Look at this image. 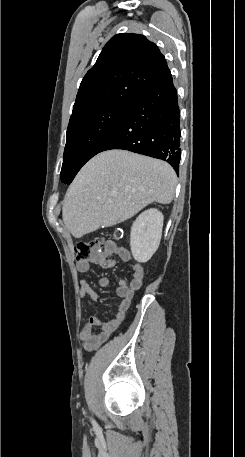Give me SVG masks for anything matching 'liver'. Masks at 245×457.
I'll return each instance as SVG.
<instances>
[{
  "mask_svg": "<svg viewBox=\"0 0 245 457\" xmlns=\"http://www.w3.org/2000/svg\"><path fill=\"white\" fill-rule=\"evenodd\" d=\"M176 182V172L165 160L120 148L104 150L71 182L62 208L64 224L81 239L100 226L131 218L154 200L169 204Z\"/></svg>",
  "mask_w": 245,
  "mask_h": 457,
  "instance_id": "liver-1",
  "label": "liver"
}]
</instances>
